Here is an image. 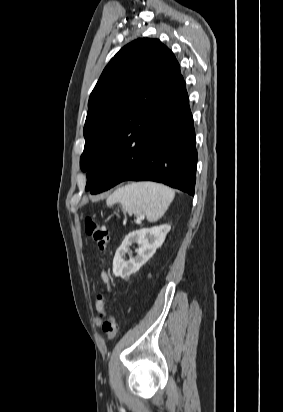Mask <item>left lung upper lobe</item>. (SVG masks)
<instances>
[{"label":"left lung upper lobe","mask_w":283,"mask_h":412,"mask_svg":"<svg viewBox=\"0 0 283 412\" xmlns=\"http://www.w3.org/2000/svg\"><path fill=\"white\" fill-rule=\"evenodd\" d=\"M184 85L176 58L159 40L137 39L114 56L88 102L80 158L86 190L96 193L95 177L113 153L143 150Z\"/></svg>","instance_id":"1"}]
</instances>
